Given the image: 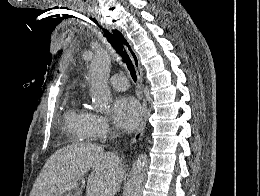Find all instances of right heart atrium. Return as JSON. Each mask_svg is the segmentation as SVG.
<instances>
[{
    "label": "right heart atrium",
    "mask_w": 260,
    "mask_h": 196,
    "mask_svg": "<svg viewBox=\"0 0 260 196\" xmlns=\"http://www.w3.org/2000/svg\"><path fill=\"white\" fill-rule=\"evenodd\" d=\"M89 127L91 129H96V130H107L109 129V123L106 117L100 114L91 113L89 119ZM74 191L79 192V190H74Z\"/></svg>",
    "instance_id": "1"
}]
</instances>
